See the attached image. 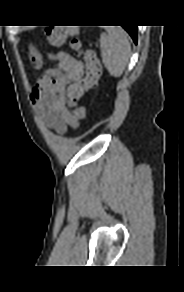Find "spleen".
Segmentation results:
<instances>
[{"label": "spleen", "mask_w": 184, "mask_h": 292, "mask_svg": "<svg viewBox=\"0 0 184 292\" xmlns=\"http://www.w3.org/2000/svg\"><path fill=\"white\" fill-rule=\"evenodd\" d=\"M101 58L110 75L120 77L130 58V42L121 28H106L100 38Z\"/></svg>", "instance_id": "1"}]
</instances>
